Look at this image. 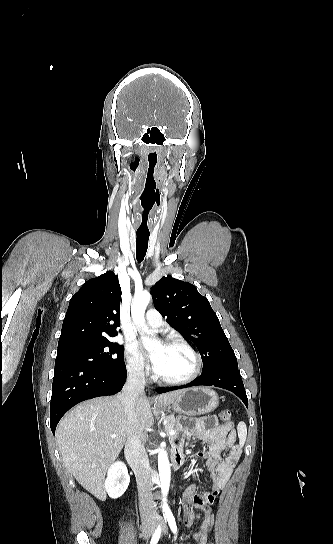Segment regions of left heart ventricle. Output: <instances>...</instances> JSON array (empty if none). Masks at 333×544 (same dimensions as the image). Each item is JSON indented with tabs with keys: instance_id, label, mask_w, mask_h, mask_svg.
<instances>
[{
	"instance_id": "1",
	"label": "left heart ventricle",
	"mask_w": 333,
	"mask_h": 544,
	"mask_svg": "<svg viewBox=\"0 0 333 544\" xmlns=\"http://www.w3.org/2000/svg\"><path fill=\"white\" fill-rule=\"evenodd\" d=\"M160 351V361L156 372L166 379H181L194 369V358L190 352L180 346L159 345L154 352Z\"/></svg>"
}]
</instances>
